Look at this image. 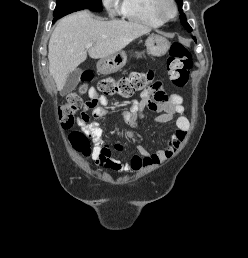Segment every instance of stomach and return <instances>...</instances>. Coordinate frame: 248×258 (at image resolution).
Segmentation results:
<instances>
[{"mask_svg": "<svg viewBox=\"0 0 248 258\" xmlns=\"http://www.w3.org/2000/svg\"><path fill=\"white\" fill-rule=\"evenodd\" d=\"M146 51L148 55L160 57L167 53L170 48L169 41L159 35H151L146 40ZM144 52L133 51L131 56L141 58ZM127 62V55L119 51L109 57L102 58L97 63V70L102 74H111L121 70Z\"/></svg>", "mask_w": 248, "mask_h": 258, "instance_id": "0dacf381", "label": "stomach"}]
</instances>
